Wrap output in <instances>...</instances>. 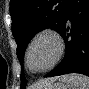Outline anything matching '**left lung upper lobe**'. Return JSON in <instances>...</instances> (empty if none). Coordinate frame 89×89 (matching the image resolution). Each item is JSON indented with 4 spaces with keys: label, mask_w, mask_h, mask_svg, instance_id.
Segmentation results:
<instances>
[{
    "label": "left lung upper lobe",
    "mask_w": 89,
    "mask_h": 89,
    "mask_svg": "<svg viewBox=\"0 0 89 89\" xmlns=\"http://www.w3.org/2000/svg\"><path fill=\"white\" fill-rule=\"evenodd\" d=\"M70 0H11L12 33L17 42V56L23 63L26 47L39 31L51 28L60 32ZM23 69V65H22ZM26 86L21 74V89Z\"/></svg>",
    "instance_id": "obj_1"
}]
</instances>
